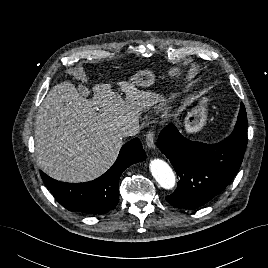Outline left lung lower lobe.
<instances>
[{"instance_id":"obj_1","label":"left lung lower lobe","mask_w":268,"mask_h":268,"mask_svg":"<svg viewBox=\"0 0 268 268\" xmlns=\"http://www.w3.org/2000/svg\"><path fill=\"white\" fill-rule=\"evenodd\" d=\"M240 108H244L243 103ZM245 132L247 129L238 128L219 143L204 144L186 139L172 123L168 124L157 146L180 180L166 200L177 208H199L224 190L242 163L247 143L240 137Z\"/></svg>"}]
</instances>
